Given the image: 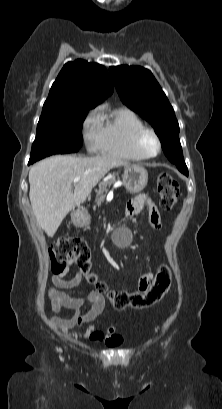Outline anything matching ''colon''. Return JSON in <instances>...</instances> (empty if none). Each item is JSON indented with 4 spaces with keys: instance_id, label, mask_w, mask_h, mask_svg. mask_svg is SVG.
I'll return each mask as SVG.
<instances>
[{
    "instance_id": "colon-1",
    "label": "colon",
    "mask_w": 222,
    "mask_h": 409,
    "mask_svg": "<svg viewBox=\"0 0 222 409\" xmlns=\"http://www.w3.org/2000/svg\"><path fill=\"white\" fill-rule=\"evenodd\" d=\"M157 193L159 205L163 210H171L178 201L179 184L168 173H161L157 178ZM52 271L57 274L64 271L67 264L74 260L80 272L91 283L95 291L105 295L110 304L117 310L127 307L135 309L147 308L161 299L168 290L172 273L169 267L162 266L155 273H151L153 280L149 285L139 287L137 291L115 290L100 280L93 271L92 254L87 242L80 238H60L53 243L49 251ZM120 340L112 336L110 341Z\"/></svg>"
}]
</instances>
